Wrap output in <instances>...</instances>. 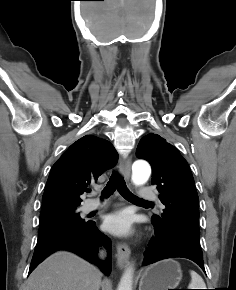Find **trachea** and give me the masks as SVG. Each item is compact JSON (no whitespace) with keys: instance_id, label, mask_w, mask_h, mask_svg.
I'll return each mask as SVG.
<instances>
[{"instance_id":"3493384b","label":"trachea","mask_w":236,"mask_h":290,"mask_svg":"<svg viewBox=\"0 0 236 290\" xmlns=\"http://www.w3.org/2000/svg\"><path fill=\"white\" fill-rule=\"evenodd\" d=\"M116 190L126 200L149 202V201L142 200L138 198L136 195L132 194L127 188L123 178L118 173L113 172L109 181L106 184V187L102 191V197L107 198L110 195H112Z\"/></svg>"}]
</instances>
